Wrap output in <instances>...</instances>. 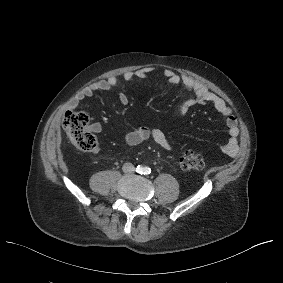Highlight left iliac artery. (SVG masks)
<instances>
[{"label": "left iliac artery", "mask_w": 283, "mask_h": 283, "mask_svg": "<svg viewBox=\"0 0 283 283\" xmlns=\"http://www.w3.org/2000/svg\"><path fill=\"white\" fill-rule=\"evenodd\" d=\"M150 168H145V174H150Z\"/></svg>", "instance_id": "left-iliac-artery-1"}]
</instances>
